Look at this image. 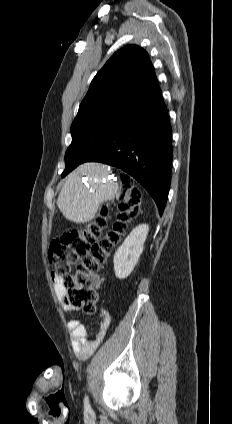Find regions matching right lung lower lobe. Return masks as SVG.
<instances>
[{"label": "right lung lower lobe", "mask_w": 232, "mask_h": 424, "mask_svg": "<svg viewBox=\"0 0 232 424\" xmlns=\"http://www.w3.org/2000/svg\"><path fill=\"white\" fill-rule=\"evenodd\" d=\"M172 129L161 91L132 105L128 121L110 133L83 162L121 168L149 192L162 215L172 160Z\"/></svg>", "instance_id": "obj_1"}]
</instances>
